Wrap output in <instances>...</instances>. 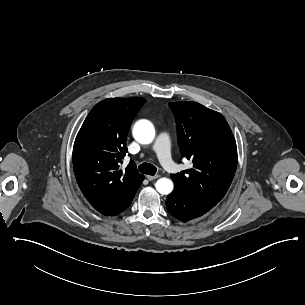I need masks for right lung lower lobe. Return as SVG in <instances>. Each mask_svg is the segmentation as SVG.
<instances>
[{"label": "right lung lower lobe", "instance_id": "right-lung-lower-lobe-1", "mask_svg": "<svg viewBox=\"0 0 305 305\" xmlns=\"http://www.w3.org/2000/svg\"><path fill=\"white\" fill-rule=\"evenodd\" d=\"M135 193H133L130 197H128L125 201H123L122 203L118 204L117 206L112 207V208H110V209H108V210H106L104 212H101V214L112 216V215H117V214L123 212L131 204V202H132V200L134 198Z\"/></svg>", "mask_w": 305, "mask_h": 305}]
</instances>
